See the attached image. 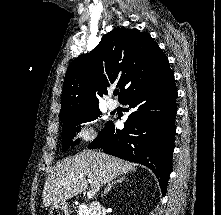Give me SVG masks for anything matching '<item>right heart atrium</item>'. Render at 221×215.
I'll list each match as a JSON object with an SVG mask.
<instances>
[{"instance_id": "obj_1", "label": "right heart atrium", "mask_w": 221, "mask_h": 215, "mask_svg": "<svg viewBox=\"0 0 221 215\" xmlns=\"http://www.w3.org/2000/svg\"><path fill=\"white\" fill-rule=\"evenodd\" d=\"M76 135L82 140H91L95 137V131L90 123H83L77 128Z\"/></svg>"}]
</instances>
